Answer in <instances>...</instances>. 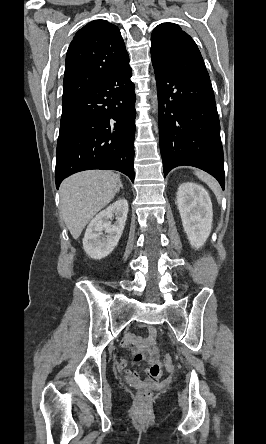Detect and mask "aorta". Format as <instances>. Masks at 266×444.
Wrapping results in <instances>:
<instances>
[{"mask_svg":"<svg viewBox=\"0 0 266 444\" xmlns=\"http://www.w3.org/2000/svg\"><path fill=\"white\" fill-rule=\"evenodd\" d=\"M153 84H155V78H153ZM155 88H156V85H155ZM152 105L154 107V112H155L156 109H157V93H156V89H155V93L152 96Z\"/></svg>","mask_w":266,"mask_h":444,"instance_id":"762f6f07","label":"aorta"}]
</instances>
